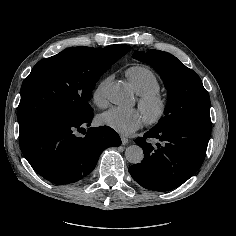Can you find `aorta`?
Segmentation results:
<instances>
[{
	"mask_svg": "<svg viewBox=\"0 0 236 236\" xmlns=\"http://www.w3.org/2000/svg\"><path fill=\"white\" fill-rule=\"evenodd\" d=\"M127 93L115 85L110 86L108 89V99L115 104L123 103L127 100ZM125 157L128 162L132 164L140 163L144 158L143 150L138 145L128 146L125 150Z\"/></svg>",
	"mask_w": 236,
	"mask_h": 236,
	"instance_id": "762f6f07",
	"label": "aorta"
}]
</instances>
